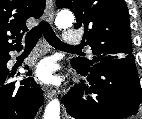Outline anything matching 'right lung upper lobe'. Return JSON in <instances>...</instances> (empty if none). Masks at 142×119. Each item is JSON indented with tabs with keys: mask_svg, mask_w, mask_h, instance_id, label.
<instances>
[{
	"mask_svg": "<svg viewBox=\"0 0 142 119\" xmlns=\"http://www.w3.org/2000/svg\"><path fill=\"white\" fill-rule=\"evenodd\" d=\"M44 8L45 0H0V54L22 48V35L28 31L26 20L39 18Z\"/></svg>",
	"mask_w": 142,
	"mask_h": 119,
	"instance_id": "1",
	"label": "right lung upper lobe"
}]
</instances>
